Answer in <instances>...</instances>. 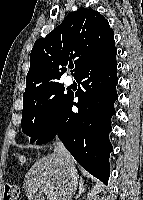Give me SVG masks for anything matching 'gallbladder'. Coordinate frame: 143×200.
<instances>
[{"mask_svg": "<svg viewBox=\"0 0 143 200\" xmlns=\"http://www.w3.org/2000/svg\"><path fill=\"white\" fill-rule=\"evenodd\" d=\"M31 200H40V198H39V197H36V196H34V197H32V198H31Z\"/></svg>", "mask_w": 143, "mask_h": 200, "instance_id": "bac80fb5", "label": "gallbladder"}]
</instances>
